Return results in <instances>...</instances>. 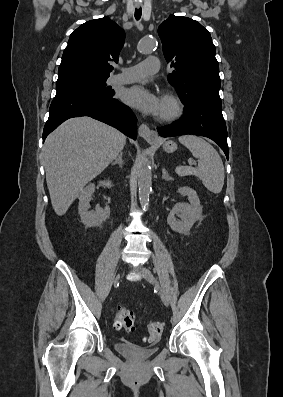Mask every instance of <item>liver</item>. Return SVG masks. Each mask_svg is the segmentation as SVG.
I'll list each match as a JSON object with an SVG mask.
<instances>
[{"instance_id":"liver-1","label":"liver","mask_w":283,"mask_h":397,"mask_svg":"<svg viewBox=\"0 0 283 397\" xmlns=\"http://www.w3.org/2000/svg\"><path fill=\"white\" fill-rule=\"evenodd\" d=\"M126 137L90 117L71 118L45 140L46 182L52 207L64 215L83 187L123 150Z\"/></svg>"}]
</instances>
